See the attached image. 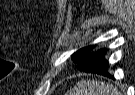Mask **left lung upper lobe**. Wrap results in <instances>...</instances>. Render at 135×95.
I'll return each instance as SVG.
<instances>
[{"mask_svg":"<svg viewBox=\"0 0 135 95\" xmlns=\"http://www.w3.org/2000/svg\"><path fill=\"white\" fill-rule=\"evenodd\" d=\"M93 46L84 47L72 55L73 61L77 64L76 67L81 69L84 65L89 56L91 55L90 52Z\"/></svg>","mask_w":135,"mask_h":95,"instance_id":"5c2ea615","label":"left lung upper lobe"}]
</instances>
